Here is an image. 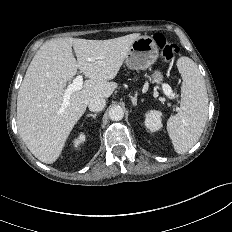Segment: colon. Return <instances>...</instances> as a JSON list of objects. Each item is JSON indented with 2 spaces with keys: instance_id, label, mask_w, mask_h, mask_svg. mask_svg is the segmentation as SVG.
<instances>
[{
  "instance_id": "colon-1",
  "label": "colon",
  "mask_w": 232,
  "mask_h": 232,
  "mask_svg": "<svg viewBox=\"0 0 232 232\" xmlns=\"http://www.w3.org/2000/svg\"><path fill=\"white\" fill-rule=\"evenodd\" d=\"M154 40L158 45L164 60L172 61L176 57L179 51L177 45L167 41L166 38L160 33L155 34Z\"/></svg>"
}]
</instances>
